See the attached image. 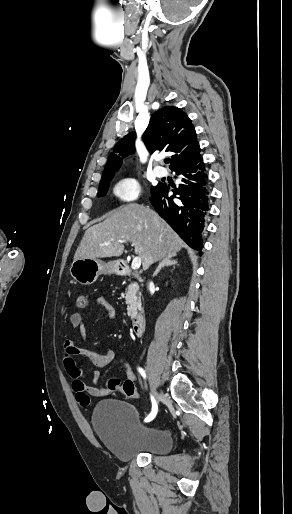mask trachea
Returning a JSON list of instances; mask_svg holds the SVG:
<instances>
[{
  "label": "trachea",
  "instance_id": "1",
  "mask_svg": "<svg viewBox=\"0 0 292 514\" xmlns=\"http://www.w3.org/2000/svg\"><path fill=\"white\" fill-rule=\"evenodd\" d=\"M164 162H165V164H168L169 159H165Z\"/></svg>",
  "mask_w": 292,
  "mask_h": 514
}]
</instances>
